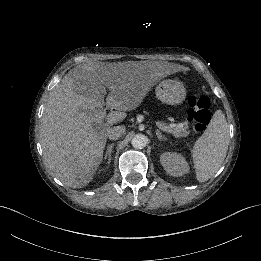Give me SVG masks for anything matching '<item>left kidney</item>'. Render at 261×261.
Instances as JSON below:
<instances>
[{"label":"left kidney","mask_w":261,"mask_h":261,"mask_svg":"<svg viewBox=\"0 0 261 261\" xmlns=\"http://www.w3.org/2000/svg\"><path fill=\"white\" fill-rule=\"evenodd\" d=\"M160 162L166 172L172 176H181L188 172V164L178 154L175 153H164L160 157Z\"/></svg>","instance_id":"obj_1"}]
</instances>
